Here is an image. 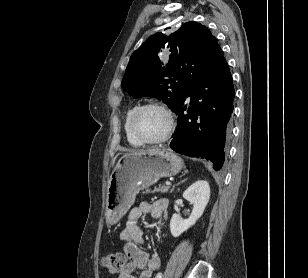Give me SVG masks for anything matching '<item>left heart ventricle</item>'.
<instances>
[{"label":"left heart ventricle","instance_id":"obj_1","mask_svg":"<svg viewBox=\"0 0 308 278\" xmlns=\"http://www.w3.org/2000/svg\"><path fill=\"white\" fill-rule=\"evenodd\" d=\"M138 131L146 138L157 139L164 135L168 127L166 114L156 108L142 111L136 119Z\"/></svg>","mask_w":308,"mask_h":278}]
</instances>
